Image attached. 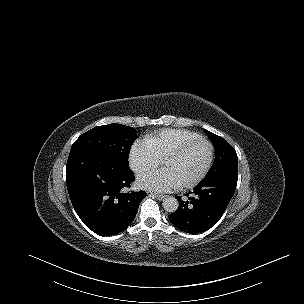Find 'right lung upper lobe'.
<instances>
[{
  "mask_svg": "<svg viewBox=\"0 0 304 304\" xmlns=\"http://www.w3.org/2000/svg\"><path fill=\"white\" fill-rule=\"evenodd\" d=\"M77 151H79V150H72L70 154L75 153V152H77Z\"/></svg>",
  "mask_w": 304,
  "mask_h": 304,
  "instance_id": "cb5924a9",
  "label": "right lung upper lobe"
}]
</instances>
